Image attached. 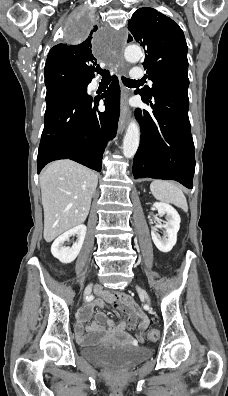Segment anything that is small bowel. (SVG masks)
Instances as JSON below:
<instances>
[{"instance_id": "c3829d8e", "label": "small bowel", "mask_w": 228, "mask_h": 396, "mask_svg": "<svg viewBox=\"0 0 228 396\" xmlns=\"http://www.w3.org/2000/svg\"><path fill=\"white\" fill-rule=\"evenodd\" d=\"M105 302L115 309L129 312L127 319L116 324L113 320L108 319L104 312H98L95 321L90 326L85 327L84 323L91 316L93 309L103 307ZM137 322H139V327L136 330ZM147 325L148 319L145 313L127 294L123 292L112 294L107 291H100L98 297L89 302L80 311L75 326V333L77 340L81 343L94 341L103 335L119 339H129L130 335L126 332V329L136 331L137 337L140 338L142 331L146 329Z\"/></svg>"}]
</instances>
